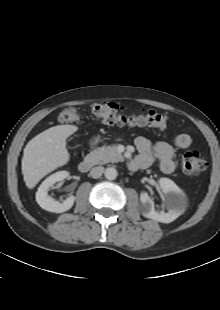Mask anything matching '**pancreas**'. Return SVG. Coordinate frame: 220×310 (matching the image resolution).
I'll return each instance as SVG.
<instances>
[{"label":"pancreas","instance_id":"pancreas-1","mask_svg":"<svg viewBox=\"0 0 220 310\" xmlns=\"http://www.w3.org/2000/svg\"><path fill=\"white\" fill-rule=\"evenodd\" d=\"M95 164H106L108 162H119L123 160L122 155L117 151L116 146L99 147L87 156Z\"/></svg>","mask_w":220,"mask_h":310}]
</instances>
